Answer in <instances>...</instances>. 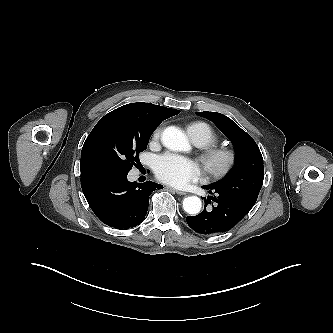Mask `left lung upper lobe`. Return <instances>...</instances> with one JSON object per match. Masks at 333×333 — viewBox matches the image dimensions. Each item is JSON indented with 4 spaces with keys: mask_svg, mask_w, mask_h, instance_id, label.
<instances>
[{
    "mask_svg": "<svg viewBox=\"0 0 333 333\" xmlns=\"http://www.w3.org/2000/svg\"><path fill=\"white\" fill-rule=\"evenodd\" d=\"M207 118L230 139L237 151V166L209 186L256 202L264 179L263 158L254 139L230 118L216 112H196Z\"/></svg>",
    "mask_w": 333,
    "mask_h": 333,
    "instance_id": "5c2ea615",
    "label": "left lung upper lobe"
}]
</instances>
